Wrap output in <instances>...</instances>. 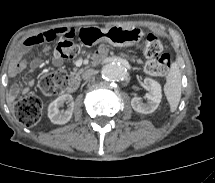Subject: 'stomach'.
<instances>
[{"mask_svg":"<svg viewBox=\"0 0 215 183\" xmlns=\"http://www.w3.org/2000/svg\"><path fill=\"white\" fill-rule=\"evenodd\" d=\"M95 43L100 41L107 42L114 47H128L138 43L144 33L137 26H111L99 28Z\"/></svg>","mask_w":215,"mask_h":183,"instance_id":"1","label":"stomach"}]
</instances>
